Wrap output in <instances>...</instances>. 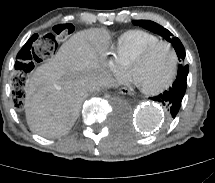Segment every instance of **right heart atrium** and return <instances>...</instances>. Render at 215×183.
Masks as SVG:
<instances>
[{
    "mask_svg": "<svg viewBox=\"0 0 215 183\" xmlns=\"http://www.w3.org/2000/svg\"><path fill=\"white\" fill-rule=\"evenodd\" d=\"M109 67L117 78L121 79L123 77L124 66L117 57L115 56L112 57V59L109 62Z\"/></svg>",
    "mask_w": 215,
    "mask_h": 183,
    "instance_id": "1",
    "label": "right heart atrium"
}]
</instances>
